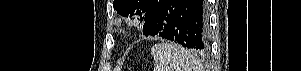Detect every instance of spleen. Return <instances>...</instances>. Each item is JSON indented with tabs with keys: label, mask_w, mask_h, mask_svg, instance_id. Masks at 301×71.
I'll list each match as a JSON object with an SVG mask.
<instances>
[{
	"label": "spleen",
	"mask_w": 301,
	"mask_h": 71,
	"mask_svg": "<svg viewBox=\"0 0 301 71\" xmlns=\"http://www.w3.org/2000/svg\"><path fill=\"white\" fill-rule=\"evenodd\" d=\"M154 71H202V65L195 55L173 43H159L151 48Z\"/></svg>",
	"instance_id": "spleen-1"
}]
</instances>
